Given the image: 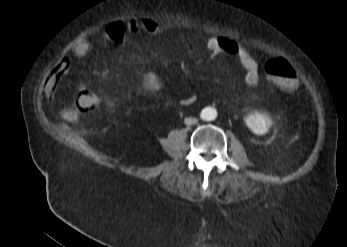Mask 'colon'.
I'll use <instances>...</instances> for the list:
<instances>
[{
  "instance_id": "1",
  "label": "colon",
  "mask_w": 347,
  "mask_h": 247,
  "mask_svg": "<svg viewBox=\"0 0 347 247\" xmlns=\"http://www.w3.org/2000/svg\"><path fill=\"white\" fill-rule=\"evenodd\" d=\"M266 72L272 84L281 91L292 92L297 87V76L292 66L285 60L277 59L267 63ZM99 104L98 98L88 90L80 91L75 96V107L83 113L91 112ZM62 119L73 121L75 114L70 110L61 113Z\"/></svg>"
}]
</instances>
